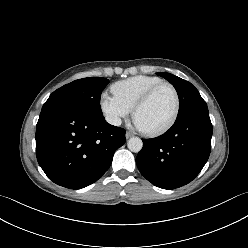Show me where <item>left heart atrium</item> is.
Listing matches in <instances>:
<instances>
[{
    "label": "left heart atrium",
    "instance_id": "1",
    "mask_svg": "<svg viewBox=\"0 0 248 248\" xmlns=\"http://www.w3.org/2000/svg\"><path fill=\"white\" fill-rule=\"evenodd\" d=\"M135 124L140 128L139 124L137 123V121L135 120Z\"/></svg>",
    "mask_w": 248,
    "mask_h": 248
}]
</instances>
